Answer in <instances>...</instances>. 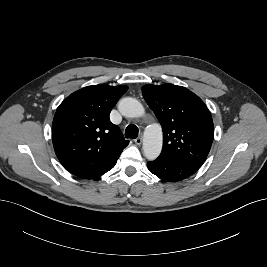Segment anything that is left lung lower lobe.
<instances>
[{
    "instance_id": "obj_1",
    "label": "left lung lower lobe",
    "mask_w": 267,
    "mask_h": 267,
    "mask_svg": "<svg viewBox=\"0 0 267 267\" xmlns=\"http://www.w3.org/2000/svg\"><path fill=\"white\" fill-rule=\"evenodd\" d=\"M147 166L151 173L168 182H176L188 178L200 168L188 163L166 161L158 158L148 162Z\"/></svg>"
}]
</instances>
